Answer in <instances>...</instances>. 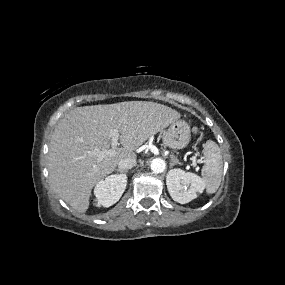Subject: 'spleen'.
<instances>
[{
    "instance_id": "3e777b00",
    "label": "spleen",
    "mask_w": 285,
    "mask_h": 285,
    "mask_svg": "<svg viewBox=\"0 0 285 285\" xmlns=\"http://www.w3.org/2000/svg\"><path fill=\"white\" fill-rule=\"evenodd\" d=\"M203 162L202 179L207 193L213 194L220 186L223 171L221 150L214 141L208 140L204 144Z\"/></svg>"
}]
</instances>
